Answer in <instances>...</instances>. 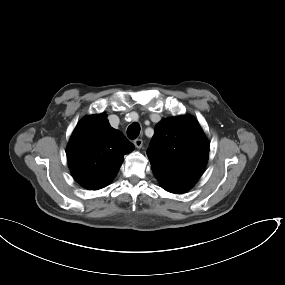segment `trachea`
<instances>
[{
	"label": "trachea",
	"instance_id": "trachea-1",
	"mask_svg": "<svg viewBox=\"0 0 285 285\" xmlns=\"http://www.w3.org/2000/svg\"><path fill=\"white\" fill-rule=\"evenodd\" d=\"M140 133V125L138 123H133L127 128V135L131 139L138 137Z\"/></svg>",
	"mask_w": 285,
	"mask_h": 285
}]
</instances>
